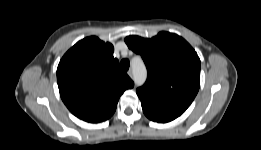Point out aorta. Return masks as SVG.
Wrapping results in <instances>:
<instances>
[{
	"label": "aorta",
	"mask_w": 261,
	"mask_h": 150,
	"mask_svg": "<svg viewBox=\"0 0 261 150\" xmlns=\"http://www.w3.org/2000/svg\"><path fill=\"white\" fill-rule=\"evenodd\" d=\"M133 78L137 85H142L147 77V70L141 58L132 61Z\"/></svg>",
	"instance_id": "aorta-1"
}]
</instances>
